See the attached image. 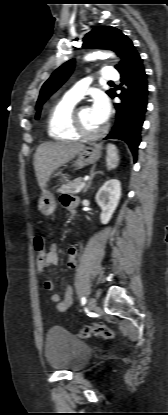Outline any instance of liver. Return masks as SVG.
<instances>
[{
    "mask_svg": "<svg viewBox=\"0 0 168 415\" xmlns=\"http://www.w3.org/2000/svg\"><path fill=\"white\" fill-rule=\"evenodd\" d=\"M84 145L73 142H47L41 144L34 155V168L38 184L43 190L51 174L71 161Z\"/></svg>",
    "mask_w": 168,
    "mask_h": 415,
    "instance_id": "obj_1",
    "label": "liver"
}]
</instances>
